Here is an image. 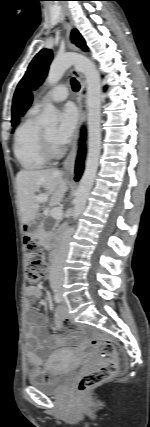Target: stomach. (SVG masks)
Returning a JSON list of instances; mask_svg holds the SVG:
<instances>
[{"label": "stomach", "instance_id": "0dacf381", "mask_svg": "<svg viewBox=\"0 0 150 427\" xmlns=\"http://www.w3.org/2000/svg\"><path fill=\"white\" fill-rule=\"evenodd\" d=\"M38 226H34L32 229H31V232H33V233H36L37 231H38Z\"/></svg>", "mask_w": 150, "mask_h": 427}]
</instances>
